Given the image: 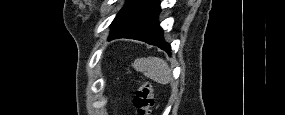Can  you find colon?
Here are the masks:
<instances>
[{"instance_id":"obj_1","label":"colon","mask_w":285,"mask_h":115,"mask_svg":"<svg viewBox=\"0 0 285 115\" xmlns=\"http://www.w3.org/2000/svg\"><path fill=\"white\" fill-rule=\"evenodd\" d=\"M134 105L140 115L152 113L154 105L152 85L149 82H142L136 92Z\"/></svg>"}]
</instances>
